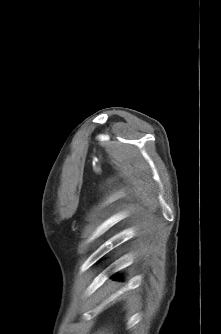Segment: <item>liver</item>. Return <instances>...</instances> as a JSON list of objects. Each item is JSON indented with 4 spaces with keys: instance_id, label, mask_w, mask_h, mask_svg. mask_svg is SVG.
<instances>
[{
    "instance_id": "1",
    "label": "liver",
    "mask_w": 221,
    "mask_h": 334,
    "mask_svg": "<svg viewBox=\"0 0 221 334\" xmlns=\"http://www.w3.org/2000/svg\"><path fill=\"white\" fill-rule=\"evenodd\" d=\"M98 334H105V332L103 331V332H98ZM109 334V333H108Z\"/></svg>"
}]
</instances>
